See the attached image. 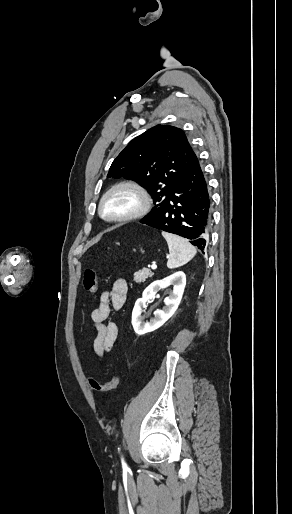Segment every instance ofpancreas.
<instances>
[{
	"label": "pancreas",
	"instance_id": "1",
	"mask_svg": "<svg viewBox=\"0 0 292 514\" xmlns=\"http://www.w3.org/2000/svg\"><path fill=\"white\" fill-rule=\"evenodd\" d=\"M152 276H154V274L153 272H151V270H148V268H143V270L135 272L134 282H137V284H141V282H145L146 278H152Z\"/></svg>",
	"mask_w": 292,
	"mask_h": 514
}]
</instances>
